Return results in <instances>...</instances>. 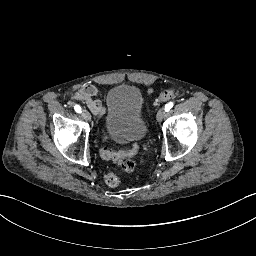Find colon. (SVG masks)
<instances>
[{
    "label": "colon",
    "mask_w": 256,
    "mask_h": 256,
    "mask_svg": "<svg viewBox=\"0 0 256 256\" xmlns=\"http://www.w3.org/2000/svg\"><path fill=\"white\" fill-rule=\"evenodd\" d=\"M175 94V91L173 89H167L163 91L158 99L155 102V106H160L166 101H169L173 98ZM107 139H110V135H106ZM138 151V145H133L132 148L124 152L123 150H120L118 153H114L113 151L107 149V148H101L100 149V156L102 158H110L116 161L117 159H121L123 156L131 157L133 161H127L125 163V168L121 169L118 172H115L114 170L104 175V182L107 186L115 188L119 187L121 185V176L120 173L124 171L132 172L136 168V164L134 163V156Z\"/></svg>",
    "instance_id": "colon-1"
}]
</instances>
